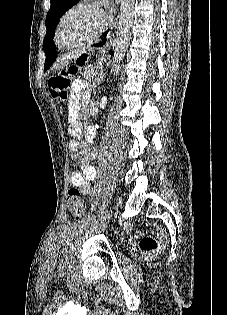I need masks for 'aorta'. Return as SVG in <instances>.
Returning <instances> with one entry per match:
<instances>
[{"label":"aorta","instance_id":"1","mask_svg":"<svg viewBox=\"0 0 227 315\" xmlns=\"http://www.w3.org/2000/svg\"><path fill=\"white\" fill-rule=\"evenodd\" d=\"M134 3L135 0H121L119 21L114 41V67H117L123 60L130 41Z\"/></svg>","mask_w":227,"mask_h":315}]
</instances>
